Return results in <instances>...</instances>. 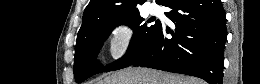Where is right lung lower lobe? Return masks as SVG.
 Instances as JSON below:
<instances>
[{"mask_svg":"<svg viewBox=\"0 0 260 84\" xmlns=\"http://www.w3.org/2000/svg\"><path fill=\"white\" fill-rule=\"evenodd\" d=\"M166 16L175 34L162 25L148 50L131 65L199 77L209 84H222L226 15L220 0H169Z\"/></svg>","mask_w":260,"mask_h":84,"instance_id":"1","label":"right lung lower lobe"}]
</instances>
